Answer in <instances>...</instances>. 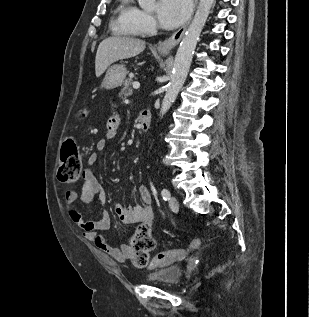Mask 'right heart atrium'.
Instances as JSON below:
<instances>
[{"mask_svg": "<svg viewBox=\"0 0 309 317\" xmlns=\"http://www.w3.org/2000/svg\"><path fill=\"white\" fill-rule=\"evenodd\" d=\"M135 22L137 27L141 30H153L156 27L153 16L139 9L135 18Z\"/></svg>", "mask_w": 309, "mask_h": 317, "instance_id": "1", "label": "right heart atrium"}]
</instances>
